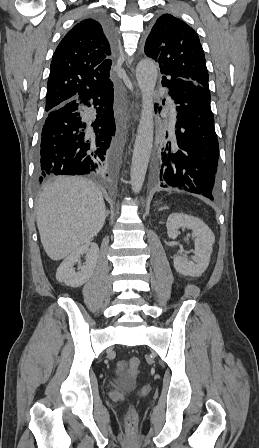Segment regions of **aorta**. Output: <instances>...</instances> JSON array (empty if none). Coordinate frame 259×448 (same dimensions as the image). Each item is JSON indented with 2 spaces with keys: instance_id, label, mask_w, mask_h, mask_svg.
I'll use <instances>...</instances> for the list:
<instances>
[{
  "instance_id": "obj_1",
  "label": "aorta",
  "mask_w": 259,
  "mask_h": 448,
  "mask_svg": "<svg viewBox=\"0 0 259 448\" xmlns=\"http://www.w3.org/2000/svg\"><path fill=\"white\" fill-rule=\"evenodd\" d=\"M158 76L157 64L150 59L141 60L136 67V79L142 95V111L132 155L130 183L138 193L143 186L150 159L154 136L153 95Z\"/></svg>"
}]
</instances>
